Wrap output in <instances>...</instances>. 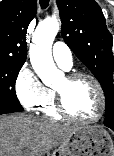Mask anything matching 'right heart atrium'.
Returning <instances> with one entry per match:
<instances>
[{
	"label": "right heart atrium",
	"mask_w": 114,
	"mask_h": 156,
	"mask_svg": "<svg viewBox=\"0 0 114 156\" xmlns=\"http://www.w3.org/2000/svg\"><path fill=\"white\" fill-rule=\"evenodd\" d=\"M14 88L19 102L27 110H38L49 97L48 89L29 65L18 72Z\"/></svg>",
	"instance_id": "1"
}]
</instances>
